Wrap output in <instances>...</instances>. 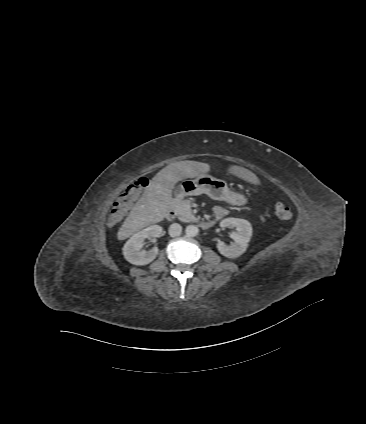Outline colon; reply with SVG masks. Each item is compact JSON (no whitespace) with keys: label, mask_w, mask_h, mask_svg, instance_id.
Returning <instances> with one entry per match:
<instances>
[{"label":"colon","mask_w":366,"mask_h":424,"mask_svg":"<svg viewBox=\"0 0 366 424\" xmlns=\"http://www.w3.org/2000/svg\"><path fill=\"white\" fill-rule=\"evenodd\" d=\"M148 183L149 180L146 177H142L136 182L130 184L124 190V192L118 196L109 213L108 224L110 226H114L122 220L127 210L140 195L141 191L148 185ZM275 214L281 220H288L293 216V210L291 207L278 202L275 205Z\"/></svg>","instance_id":"1"}]
</instances>
